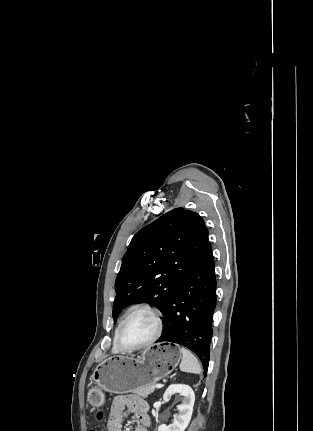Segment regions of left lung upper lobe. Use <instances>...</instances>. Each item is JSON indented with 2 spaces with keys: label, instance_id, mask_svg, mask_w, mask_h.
Listing matches in <instances>:
<instances>
[{
  "label": "left lung upper lobe",
  "instance_id": "1",
  "mask_svg": "<svg viewBox=\"0 0 313 431\" xmlns=\"http://www.w3.org/2000/svg\"><path fill=\"white\" fill-rule=\"evenodd\" d=\"M209 243L195 212L176 208L140 230L123 256L115 282L113 319L122 308L148 301L164 312Z\"/></svg>",
  "mask_w": 313,
  "mask_h": 431
}]
</instances>
